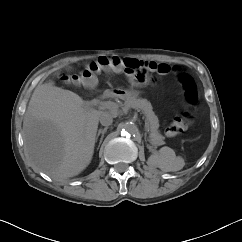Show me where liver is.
<instances>
[{"label":"liver","instance_id":"obj_1","mask_svg":"<svg viewBox=\"0 0 242 242\" xmlns=\"http://www.w3.org/2000/svg\"><path fill=\"white\" fill-rule=\"evenodd\" d=\"M100 115L72 91L38 85L23 120L32 165L57 180L80 174L92 160Z\"/></svg>","mask_w":242,"mask_h":242}]
</instances>
